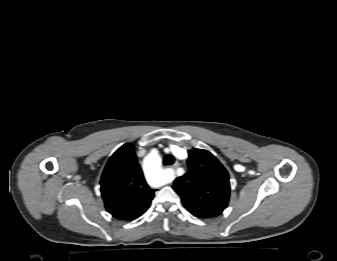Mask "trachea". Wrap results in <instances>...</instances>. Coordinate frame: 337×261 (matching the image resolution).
I'll list each match as a JSON object with an SVG mask.
<instances>
[{
    "label": "trachea",
    "mask_w": 337,
    "mask_h": 261,
    "mask_svg": "<svg viewBox=\"0 0 337 261\" xmlns=\"http://www.w3.org/2000/svg\"><path fill=\"white\" fill-rule=\"evenodd\" d=\"M175 159L172 155H166L163 158V164L164 165H172L174 163Z\"/></svg>",
    "instance_id": "1"
}]
</instances>
